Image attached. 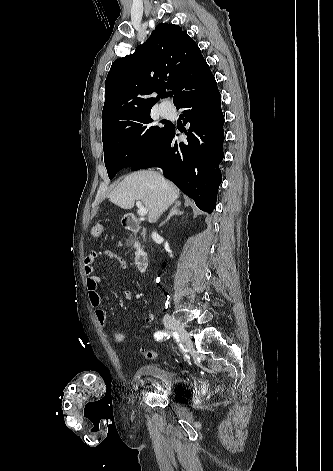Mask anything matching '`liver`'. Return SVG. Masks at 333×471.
<instances>
[{
  "label": "liver",
  "mask_w": 333,
  "mask_h": 471,
  "mask_svg": "<svg viewBox=\"0 0 333 471\" xmlns=\"http://www.w3.org/2000/svg\"><path fill=\"white\" fill-rule=\"evenodd\" d=\"M179 189L153 170H142L125 177L109 194V201L122 209H132L141 200L148 210V222L160 215L179 197Z\"/></svg>",
  "instance_id": "6515ba94"
}]
</instances>
